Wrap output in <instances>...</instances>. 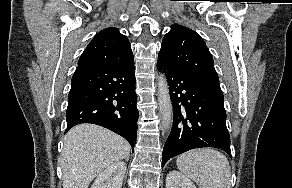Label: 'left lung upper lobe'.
Returning <instances> with one entry per match:
<instances>
[{
  "label": "left lung upper lobe",
  "instance_id": "obj_1",
  "mask_svg": "<svg viewBox=\"0 0 292 188\" xmlns=\"http://www.w3.org/2000/svg\"><path fill=\"white\" fill-rule=\"evenodd\" d=\"M158 61L166 66L219 85L214 61L204 40L195 31L174 24L164 36Z\"/></svg>",
  "mask_w": 292,
  "mask_h": 188
}]
</instances>
